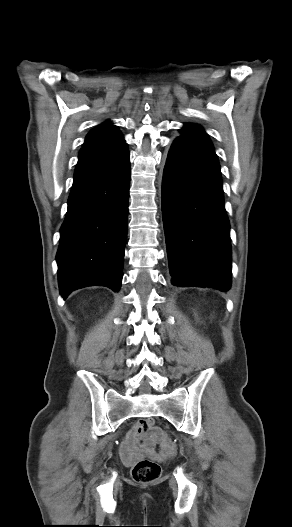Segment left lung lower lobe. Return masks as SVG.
<instances>
[{"mask_svg":"<svg viewBox=\"0 0 292 527\" xmlns=\"http://www.w3.org/2000/svg\"><path fill=\"white\" fill-rule=\"evenodd\" d=\"M162 214L172 284L228 290L230 226L212 148L174 141L163 174Z\"/></svg>","mask_w":292,"mask_h":527,"instance_id":"left-lung-lower-lobe-1","label":"left lung lower lobe"}]
</instances>
